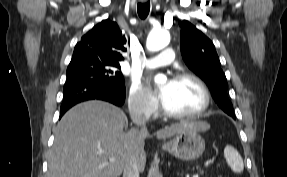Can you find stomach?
I'll return each instance as SVG.
<instances>
[{
  "instance_id": "obj_1",
  "label": "stomach",
  "mask_w": 287,
  "mask_h": 177,
  "mask_svg": "<svg viewBox=\"0 0 287 177\" xmlns=\"http://www.w3.org/2000/svg\"><path fill=\"white\" fill-rule=\"evenodd\" d=\"M163 149L181 160L194 161L203 154L205 141L198 130L186 129L174 135Z\"/></svg>"
}]
</instances>
